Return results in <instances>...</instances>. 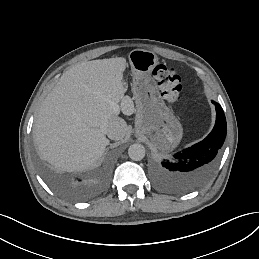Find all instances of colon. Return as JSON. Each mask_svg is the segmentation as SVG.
Wrapping results in <instances>:
<instances>
[{"mask_svg":"<svg viewBox=\"0 0 259 259\" xmlns=\"http://www.w3.org/2000/svg\"><path fill=\"white\" fill-rule=\"evenodd\" d=\"M162 97L170 105L178 104L181 99V79L174 68L158 65L153 71Z\"/></svg>","mask_w":259,"mask_h":259,"instance_id":"colon-1","label":"colon"}]
</instances>
